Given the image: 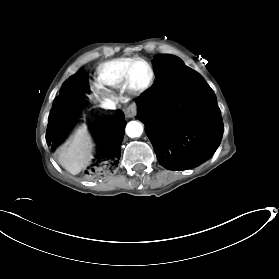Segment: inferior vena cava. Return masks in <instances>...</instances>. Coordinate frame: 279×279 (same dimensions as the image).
Wrapping results in <instances>:
<instances>
[{
	"label": "inferior vena cava",
	"instance_id": "obj_1",
	"mask_svg": "<svg viewBox=\"0 0 279 279\" xmlns=\"http://www.w3.org/2000/svg\"><path fill=\"white\" fill-rule=\"evenodd\" d=\"M116 104L115 102L113 101H104L102 103V107L105 108V109H116Z\"/></svg>",
	"mask_w": 279,
	"mask_h": 279
}]
</instances>
